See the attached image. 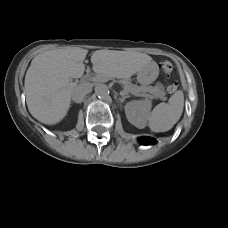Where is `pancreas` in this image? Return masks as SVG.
<instances>
[{"instance_id": "obj_1", "label": "pancreas", "mask_w": 228, "mask_h": 228, "mask_svg": "<svg viewBox=\"0 0 228 228\" xmlns=\"http://www.w3.org/2000/svg\"><path fill=\"white\" fill-rule=\"evenodd\" d=\"M96 82H105L108 79L106 77L97 75L93 78ZM122 84L124 85V91L125 93H131V94H143L147 95L149 98H165V91L160 89L159 86L152 87V86H138L132 84L130 81L123 80Z\"/></svg>"}]
</instances>
